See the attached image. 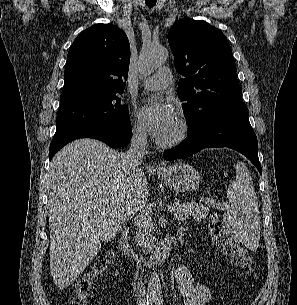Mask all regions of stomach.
I'll use <instances>...</instances> for the list:
<instances>
[{"instance_id":"obj_1","label":"stomach","mask_w":297,"mask_h":305,"mask_svg":"<svg viewBox=\"0 0 297 305\" xmlns=\"http://www.w3.org/2000/svg\"><path fill=\"white\" fill-rule=\"evenodd\" d=\"M158 176L176 192H187L199 187V173L189 164L179 163L158 170Z\"/></svg>"}]
</instances>
